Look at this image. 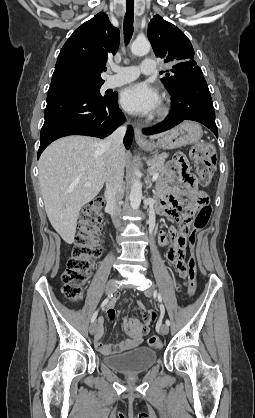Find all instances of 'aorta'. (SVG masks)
<instances>
[{
    "label": "aorta",
    "mask_w": 255,
    "mask_h": 418,
    "mask_svg": "<svg viewBox=\"0 0 255 418\" xmlns=\"http://www.w3.org/2000/svg\"><path fill=\"white\" fill-rule=\"evenodd\" d=\"M150 43L147 40H135L132 43L131 51L134 55L142 56L149 52ZM137 174V172H135ZM142 199V185L139 179H134L132 181L131 190H130V206L133 210H137L140 207Z\"/></svg>",
    "instance_id": "1"
}]
</instances>
